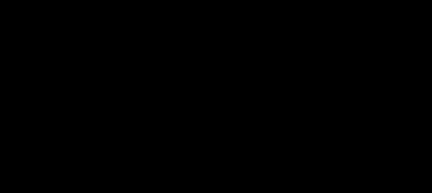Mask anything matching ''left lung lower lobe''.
<instances>
[{
    "mask_svg": "<svg viewBox=\"0 0 432 193\" xmlns=\"http://www.w3.org/2000/svg\"><path fill=\"white\" fill-rule=\"evenodd\" d=\"M305 114V111L270 106L234 115L230 124L236 129V136L226 146L234 167L253 180L280 174L303 141Z\"/></svg>",
    "mask_w": 432,
    "mask_h": 193,
    "instance_id": "obj_1",
    "label": "left lung lower lobe"
}]
</instances>
